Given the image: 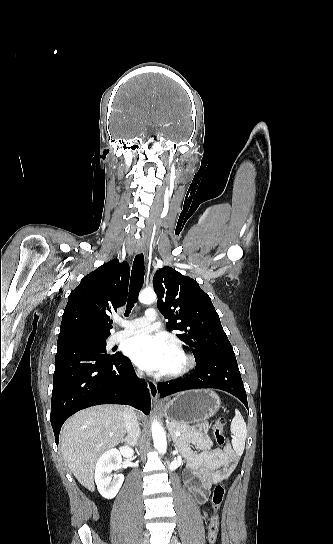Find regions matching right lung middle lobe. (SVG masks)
I'll list each match as a JSON object with an SVG mask.
<instances>
[{
  "label": "right lung middle lobe",
  "instance_id": "dd1d6c3e",
  "mask_svg": "<svg viewBox=\"0 0 333 544\" xmlns=\"http://www.w3.org/2000/svg\"><path fill=\"white\" fill-rule=\"evenodd\" d=\"M88 344L92 345L94 347V350H96L101 357L104 358H111L114 355H108L106 354V340H95V341H89Z\"/></svg>",
  "mask_w": 333,
  "mask_h": 544
}]
</instances>
